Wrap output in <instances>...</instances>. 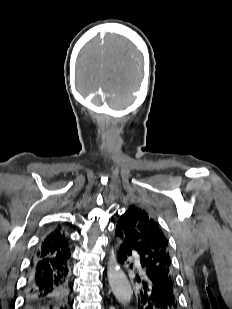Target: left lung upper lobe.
Masks as SVG:
<instances>
[{"label":"left lung upper lobe","mask_w":232,"mask_h":309,"mask_svg":"<svg viewBox=\"0 0 232 309\" xmlns=\"http://www.w3.org/2000/svg\"><path fill=\"white\" fill-rule=\"evenodd\" d=\"M118 230L133 253L146 268L159 273L178 300L177 287L169 254V242L158 222L144 209L130 206L117 222Z\"/></svg>","instance_id":"5c2ea615"}]
</instances>
